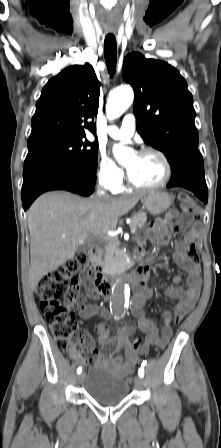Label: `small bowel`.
Listing matches in <instances>:
<instances>
[{"label": "small bowel", "mask_w": 221, "mask_h": 448, "mask_svg": "<svg viewBox=\"0 0 221 448\" xmlns=\"http://www.w3.org/2000/svg\"><path fill=\"white\" fill-rule=\"evenodd\" d=\"M182 222V214L176 211H169L164 219H157L151 226L149 240L158 246L167 244L171 232L178 229ZM194 231L186 234L182 239L176 242L174 248L173 260L185 272L187 276V288L180 287L182 277L175 275L172 278V286L165 290V294L177 301L174 314L169 311L162 313L163 327L161 331L156 323L147 317L145 305L148 299L152 297V290L144 283L136 288L132 299V313L138 320V328L146 333L145 344L136 347L130 340V335L136 330L132 323L122 326L115 337H110L108 331L102 324L97 327L99 334V344L101 348L91 347L89 354L91 360L108 365L119 375H129L134 366L140 360L151 346L163 349L167 346L173 334L172 324L176 318L183 319L194 307L202 285L201 269L198 264L191 263L185 256V250L193 240ZM144 280L148 275V269L142 267ZM86 292L90 297L96 298L98 295L95 290L88 286ZM66 305L75 310L81 318H90L100 313L107 315L108 312L96 304H87L84 297L80 296V287H74L67 295ZM123 349L124 357L117 353Z\"/></svg>", "instance_id": "obj_1"}]
</instances>
